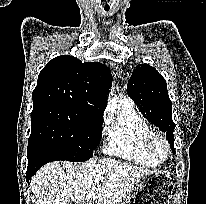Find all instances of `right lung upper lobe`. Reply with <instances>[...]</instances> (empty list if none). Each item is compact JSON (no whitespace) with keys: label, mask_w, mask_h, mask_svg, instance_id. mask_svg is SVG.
I'll use <instances>...</instances> for the list:
<instances>
[{"label":"right lung upper lobe","mask_w":206,"mask_h":204,"mask_svg":"<svg viewBox=\"0 0 206 204\" xmlns=\"http://www.w3.org/2000/svg\"><path fill=\"white\" fill-rule=\"evenodd\" d=\"M111 85L112 75L105 65L82 63L63 55L52 59L40 72L33 104H65L103 114Z\"/></svg>","instance_id":"right-lung-upper-lobe-1"}]
</instances>
